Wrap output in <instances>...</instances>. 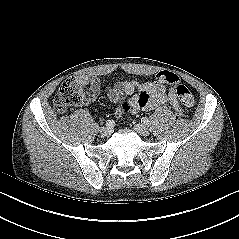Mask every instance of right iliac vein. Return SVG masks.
I'll list each match as a JSON object with an SVG mask.
<instances>
[{"label": "right iliac vein", "instance_id": "1", "mask_svg": "<svg viewBox=\"0 0 239 239\" xmlns=\"http://www.w3.org/2000/svg\"><path fill=\"white\" fill-rule=\"evenodd\" d=\"M111 129L109 127H102L100 129V134L103 136V137H108L111 135Z\"/></svg>", "mask_w": 239, "mask_h": 239}]
</instances>
